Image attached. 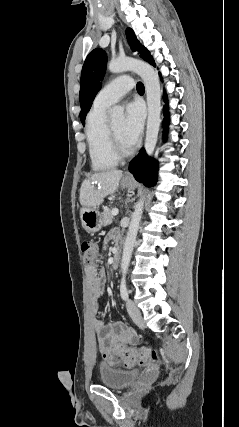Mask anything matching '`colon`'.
Here are the masks:
<instances>
[{
	"label": "colon",
	"instance_id": "colon-1",
	"mask_svg": "<svg viewBox=\"0 0 239 427\" xmlns=\"http://www.w3.org/2000/svg\"><path fill=\"white\" fill-rule=\"evenodd\" d=\"M83 259L86 264H91L97 256V245L94 241H84L81 245ZM115 353L121 357L125 366L148 365L158 359L156 350L147 347H126L123 345L115 347Z\"/></svg>",
	"mask_w": 239,
	"mask_h": 427
}]
</instances>
